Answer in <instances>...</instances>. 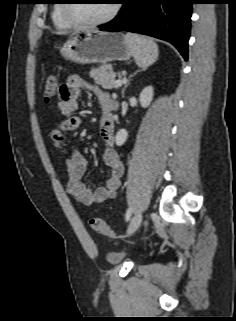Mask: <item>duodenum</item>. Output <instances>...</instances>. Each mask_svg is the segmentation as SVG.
<instances>
[{
  "label": "duodenum",
  "instance_id": "duodenum-1",
  "mask_svg": "<svg viewBox=\"0 0 236 321\" xmlns=\"http://www.w3.org/2000/svg\"><path fill=\"white\" fill-rule=\"evenodd\" d=\"M108 108L110 112H113L117 108V102L111 99L108 103Z\"/></svg>",
  "mask_w": 236,
  "mask_h": 321
}]
</instances>
